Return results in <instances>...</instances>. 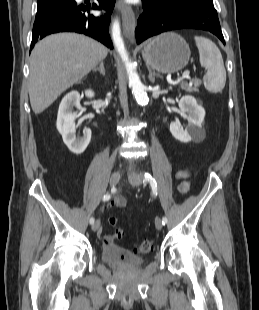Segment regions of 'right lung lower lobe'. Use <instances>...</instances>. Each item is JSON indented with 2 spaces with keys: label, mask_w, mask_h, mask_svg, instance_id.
I'll use <instances>...</instances> for the list:
<instances>
[{
  "label": "right lung lower lobe",
  "mask_w": 259,
  "mask_h": 310,
  "mask_svg": "<svg viewBox=\"0 0 259 310\" xmlns=\"http://www.w3.org/2000/svg\"><path fill=\"white\" fill-rule=\"evenodd\" d=\"M98 2L99 7L96 4H75L70 7L52 8L37 13L33 25L30 51L46 35L64 31L83 33L113 49L108 27L115 0H98ZM101 8L107 10V13L101 16L90 14L91 9Z\"/></svg>",
  "instance_id": "98d812e1"
}]
</instances>
